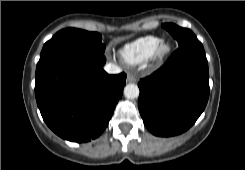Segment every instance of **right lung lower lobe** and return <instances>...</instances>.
<instances>
[{
  "label": "right lung lower lobe",
  "instance_id": "obj_1",
  "mask_svg": "<svg viewBox=\"0 0 245 170\" xmlns=\"http://www.w3.org/2000/svg\"><path fill=\"white\" fill-rule=\"evenodd\" d=\"M103 54L63 51L36 69L35 95L48 127L63 139L88 142L107 127L126 74L103 70Z\"/></svg>",
  "mask_w": 245,
  "mask_h": 170
}]
</instances>
